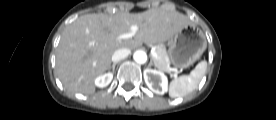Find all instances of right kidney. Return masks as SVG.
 <instances>
[{"mask_svg": "<svg viewBox=\"0 0 276 120\" xmlns=\"http://www.w3.org/2000/svg\"><path fill=\"white\" fill-rule=\"evenodd\" d=\"M112 79H113V74L112 73H110V72L105 73L103 75L98 76L95 79V85L100 87V88L106 87L110 84Z\"/></svg>", "mask_w": 276, "mask_h": 120, "instance_id": "1", "label": "right kidney"}]
</instances>
